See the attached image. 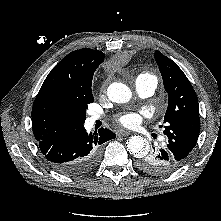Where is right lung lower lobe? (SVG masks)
Wrapping results in <instances>:
<instances>
[{"mask_svg": "<svg viewBox=\"0 0 221 221\" xmlns=\"http://www.w3.org/2000/svg\"><path fill=\"white\" fill-rule=\"evenodd\" d=\"M116 135L107 128L87 133L84 125L58 138L38 142L53 169L66 175H82L96 167L103 143Z\"/></svg>", "mask_w": 221, "mask_h": 221, "instance_id": "obj_1", "label": "right lung lower lobe"}]
</instances>
